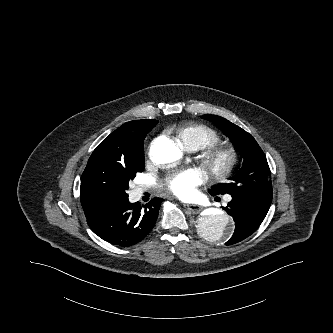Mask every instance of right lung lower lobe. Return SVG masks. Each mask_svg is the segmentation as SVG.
<instances>
[{
    "label": "right lung lower lobe",
    "mask_w": 333,
    "mask_h": 333,
    "mask_svg": "<svg viewBox=\"0 0 333 333\" xmlns=\"http://www.w3.org/2000/svg\"><path fill=\"white\" fill-rule=\"evenodd\" d=\"M161 198H153L145 206L130 203L127 198L108 201L84 211L89 227L103 240L122 247L137 244L154 227Z\"/></svg>",
    "instance_id": "obj_1"
}]
</instances>
